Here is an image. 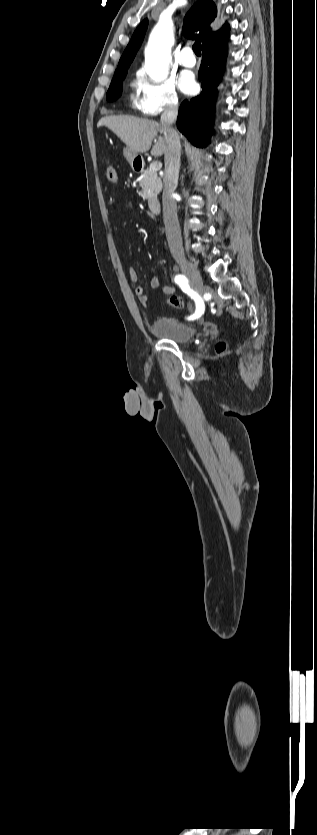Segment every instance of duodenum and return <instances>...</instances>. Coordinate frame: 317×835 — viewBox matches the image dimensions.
I'll use <instances>...</instances> for the list:
<instances>
[{
    "label": "duodenum",
    "instance_id": "duodenum-1",
    "mask_svg": "<svg viewBox=\"0 0 317 835\" xmlns=\"http://www.w3.org/2000/svg\"><path fill=\"white\" fill-rule=\"evenodd\" d=\"M135 169L137 171H141L142 164L140 162L135 163ZM148 207L152 212H158L161 208L160 199L157 197H152L148 200Z\"/></svg>",
    "mask_w": 317,
    "mask_h": 835
}]
</instances>
